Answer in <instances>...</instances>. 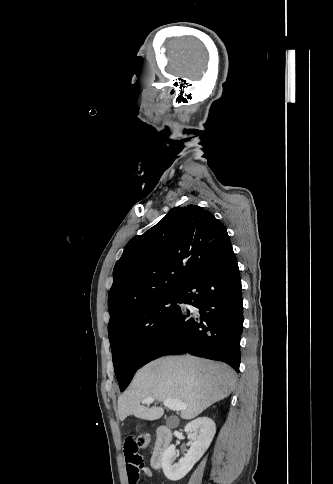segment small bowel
Instances as JSON below:
<instances>
[{"instance_id": "c3829d8e", "label": "small bowel", "mask_w": 333, "mask_h": 484, "mask_svg": "<svg viewBox=\"0 0 333 484\" xmlns=\"http://www.w3.org/2000/svg\"><path fill=\"white\" fill-rule=\"evenodd\" d=\"M136 441L128 436L124 442V454L127 466L129 484H141V475L151 477L152 471L145 465L143 457L138 453Z\"/></svg>"}]
</instances>
